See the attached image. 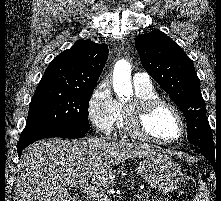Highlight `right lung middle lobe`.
<instances>
[{
  "mask_svg": "<svg viewBox=\"0 0 221 201\" xmlns=\"http://www.w3.org/2000/svg\"><path fill=\"white\" fill-rule=\"evenodd\" d=\"M92 92L36 89L24 130L61 126L87 132L90 130L88 105Z\"/></svg>",
  "mask_w": 221,
  "mask_h": 201,
  "instance_id": "right-lung-middle-lobe-1",
  "label": "right lung middle lobe"
}]
</instances>
